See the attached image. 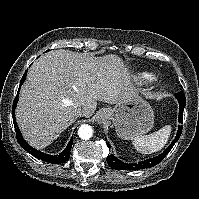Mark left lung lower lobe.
Here are the masks:
<instances>
[{
	"label": "left lung lower lobe",
	"mask_w": 199,
	"mask_h": 199,
	"mask_svg": "<svg viewBox=\"0 0 199 199\" xmlns=\"http://www.w3.org/2000/svg\"><path fill=\"white\" fill-rule=\"evenodd\" d=\"M175 97L177 98L179 102L178 121L179 123H183V111L186 104V98L182 92L175 94ZM181 132H182V126H178L177 135L175 139L173 140V142L168 146V148L162 154L154 158L147 159L138 163H124L118 160L113 154H111V155H108V157L106 158L107 163L109 164L111 168L116 169V170H138V169L151 168L157 165L158 163H160L165 158V156L170 152L174 144L180 138ZM109 149H110V146H109Z\"/></svg>",
	"instance_id": "0a47b994"
}]
</instances>
